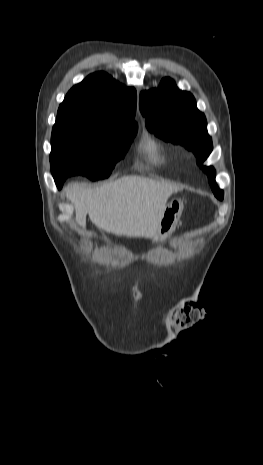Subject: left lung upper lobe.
I'll return each instance as SVG.
<instances>
[{"label":"left lung upper lobe","instance_id":"5c2ea615","mask_svg":"<svg viewBox=\"0 0 263 465\" xmlns=\"http://www.w3.org/2000/svg\"><path fill=\"white\" fill-rule=\"evenodd\" d=\"M139 106L150 131L192 150L198 163L209 156L213 146L206 118L197 109L193 95L179 90L172 79L164 78L158 89L142 92ZM208 178L214 195L222 200L224 192L217 187L215 176L208 174Z\"/></svg>","mask_w":263,"mask_h":465}]
</instances>
